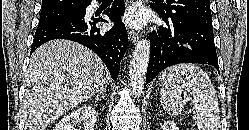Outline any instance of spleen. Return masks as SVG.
I'll return each instance as SVG.
<instances>
[{
	"label": "spleen",
	"instance_id": "obj_1",
	"mask_svg": "<svg viewBox=\"0 0 249 130\" xmlns=\"http://www.w3.org/2000/svg\"><path fill=\"white\" fill-rule=\"evenodd\" d=\"M163 88L161 104L172 116L181 114L185 100L179 88H168L172 82L182 83L185 91L192 96L198 130H219L220 116L216 90L206 72L195 64H178L160 74Z\"/></svg>",
	"mask_w": 249,
	"mask_h": 130
}]
</instances>
